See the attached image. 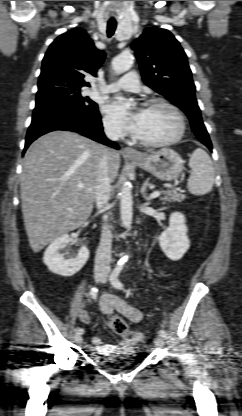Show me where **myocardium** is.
I'll return each instance as SVG.
<instances>
[{"mask_svg": "<svg viewBox=\"0 0 242 416\" xmlns=\"http://www.w3.org/2000/svg\"><path fill=\"white\" fill-rule=\"evenodd\" d=\"M158 106L166 107L173 112V114L176 116L178 120V129L174 136L166 140H162V141H148L134 134L133 139L145 147L159 148V147H164V146L174 144L177 141H179L185 133L186 122H185V117L183 113L181 112V110L173 103L164 99H152L145 104V108L147 109L158 107Z\"/></svg>", "mask_w": 242, "mask_h": 416, "instance_id": "f54148a6", "label": "myocardium"}]
</instances>
